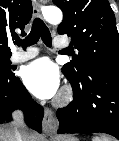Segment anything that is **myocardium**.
<instances>
[{"mask_svg":"<svg viewBox=\"0 0 119 141\" xmlns=\"http://www.w3.org/2000/svg\"><path fill=\"white\" fill-rule=\"evenodd\" d=\"M72 92L69 88H66L62 91L60 96L57 99L58 104H66L71 100Z\"/></svg>","mask_w":119,"mask_h":141,"instance_id":"obj_1","label":"myocardium"}]
</instances>
